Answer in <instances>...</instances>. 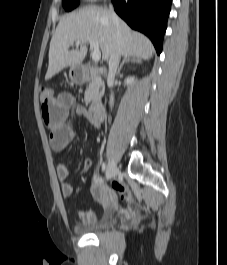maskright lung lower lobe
Instances as JSON below:
<instances>
[{"label":"right lung lower lobe","mask_w":227,"mask_h":265,"mask_svg":"<svg viewBox=\"0 0 227 265\" xmlns=\"http://www.w3.org/2000/svg\"><path fill=\"white\" fill-rule=\"evenodd\" d=\"M112 2L116 13L131 28L147 35L160 54L172 0H112Z\"/></svg>","instance_id":"obj_1"}]
</instances>
